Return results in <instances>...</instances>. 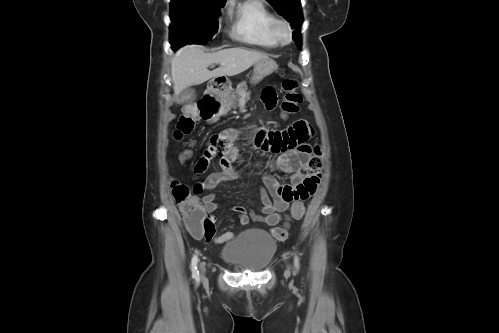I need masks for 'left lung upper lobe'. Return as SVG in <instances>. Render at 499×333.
<instances>
[{"instance_id": "left-lung-upper-lobe-1", "label": "left lung upper lobe", "mask_w": 499, "mask_h": 333, "mask_svg": "<svg viewBox=\"0 0 499 333\" xmlns=\"http://www.w3.org/2000/svg\"><path fill=\"white\" fill-rule=\"evenodd\" d=\"M273 7L292 25L295 29L293 32L294 37L297 38L296 44L301 49V39L299 30L303 23V16L301 10L300 0H267Z\"/></svg>"}]
</instances>
